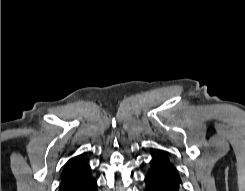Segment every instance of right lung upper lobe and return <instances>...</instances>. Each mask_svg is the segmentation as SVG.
<instances>
[{"instance_id": "1", "label": "right lung upper lobe", "mask_w": 245, "mask_h": 191, "mask_svg": "<svg viewBox=\"0 0 245 191\" xmlns=\"http://www.w3.org/2000/svg\"><path fill=\"white\" fill-rule=\"evenodd\" d=\"M87 166V163L80 156H76L70 159L62 172V179L76 173L77 171Z\"/></svg>"}]
</instances>
